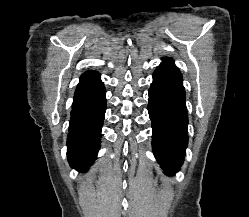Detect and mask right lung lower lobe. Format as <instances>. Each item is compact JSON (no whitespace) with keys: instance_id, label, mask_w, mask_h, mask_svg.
Segmentation results:
<instances>
[{"instance_id":"right-lung-lower-lobe-1","label":"right lung lower lobe","mask_w":249,"mask_h":217,"mask_svg":"<svg viewBox=\"0 0 249 217\" xmlns=\"http://www.w3.org/2000/svg\"><path fill=\"white\" fill-rule=\"evenodd\" d=\"M105 94L98 72L88 71L81 75L74 94L67 137L68 161L80 172L88 170L99 151L106 110Z\"/></svg>"}]
</instances>
